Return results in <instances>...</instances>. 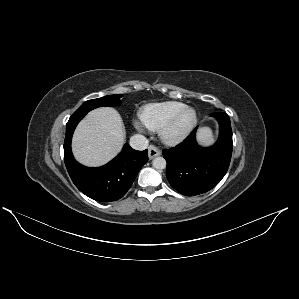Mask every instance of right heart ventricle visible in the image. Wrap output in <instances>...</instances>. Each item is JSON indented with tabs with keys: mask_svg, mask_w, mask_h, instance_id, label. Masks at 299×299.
Instances as JSON below:
<instances>
[{
	"mask_svg": "<svg viewBox=\"0 0 299 299\" xmlns=\"http://www.w3.org/2000/svg\"><path fill=\"white\" fill-rule=\"evenodd\" d=\"M186 105L178 101L158 102L146 105L140 114L143 124L155 130L161 128L174 114Z\"/></svg>",
	"mask_w": 299,
	"mask_h": 299,
	"instance_id": "obj_1",
	"label": "right heart ventricle"
}]
</instances>
